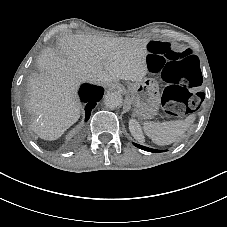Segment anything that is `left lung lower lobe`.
<instances>
[{
    "label": "left lung lower lobe",
    "instance_id": "obj_1",
    "mask_svg": "<svg viewBox=\"0 0 227 227\" xmlns=\"http://www.w3.org/2000/svg\"><path fill=\"white\" fill-rule=\"evenodd\" d=\"M134 145L140 149H143V150H146V151H149V152H162V150H156V149H151V148H148V147H144V146H141V145H138V144H135Z\"/></svg>",
    "mask_w": 227,
    "mask_h": 227
}]
</instances>
